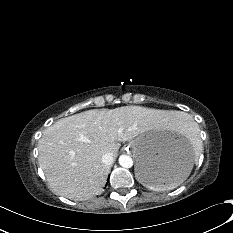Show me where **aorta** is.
<instances>
[{
	"mask_svg": "<svg viewBox=\"0 0 233 233\" xmlns=\"http://www.w3.org/2000/svg\"><path fill=\"white\" fill-rule=\"evenodd\" d=\"M119 164L124 168H131L133 166V160L128 155H121L119 157Z\"/></svg>",
	"mask_w": 233,
	"mask_h": 233,
	"instance_id": "obj_1",
	"label": "aorta"
}]
</instances>
